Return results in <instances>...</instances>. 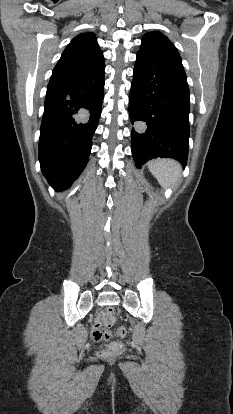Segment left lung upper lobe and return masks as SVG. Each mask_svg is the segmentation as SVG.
Here are the masks:
<instances>
[{
    "mask_svg": "<svg viewBox=\"0 0 233 414\" xmlns=\"http://www.w3.org/2000/svg\"><path fill=\"white\" fill-rule=\"evenodd\" d=\"M138 53L170 65L183 67L176 47L166 36L159 32L146 33L142 38Z\"/></svg>",
    "mask_w": 233,
    "mask_h": 414,
    "instance_id": "5c2ea615",
    "label": "left lung upper lobe"
}]
</instances>
